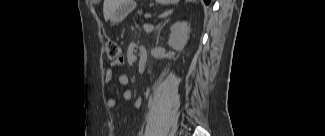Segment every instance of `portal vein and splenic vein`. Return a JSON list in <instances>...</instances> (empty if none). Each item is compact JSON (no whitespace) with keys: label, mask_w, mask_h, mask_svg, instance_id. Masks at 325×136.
<instances>
[{"label":"portal vein and splenic vein","mask_w":325,"mask_h":136,"mask_svg":"<svg viewBox=\"0 0 325 136\" xmlns=\"http://www.w3.org/2000/svg\"><path fill=\"white\" fill-rule=\"evenodd\" d=\"M144 28H147V29H149V28H151V25H148V24H144Z\"/></svg>","instance_id":"portal-vein-and-splenic-vein-1"}]
</instances>
